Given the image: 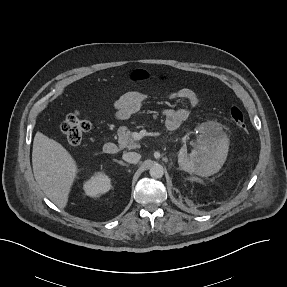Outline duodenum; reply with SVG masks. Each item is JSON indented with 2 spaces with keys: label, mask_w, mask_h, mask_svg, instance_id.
<instances>
[{
  "label": "duodenum",
  "mask_w": 287,
  "mask_h": 287,
  "mask_svg": "<svg viewBox=\"0 0 287 287\" xmlns=\"http://www.w3.org/2000/svg\"><path fill=\"white\" fill-rule=\"evenodd\" d=\"M104 151L107 154H115L118 151L117 145L113 142H108L105 147H104Z\"/></svg>",
  "instance_id": "1"
}]
</instances>
